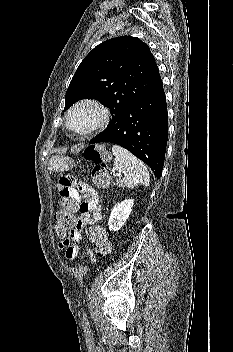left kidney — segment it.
Instances as JSON below:
<instances>
[{
    "label": "left kidney",
    "instance_id": "obj_1",
    "mask_svg": "<svg viewBox=\"0 0 233 352\" xmlns=\"http://www.w3.org/2000/svg\"><path fill=\"white\" fill-rule=\"evenodd\" d=\"M133 205V199H125L113 207L108 220V226L111 231H118L121 229L126 220L129 218Z\"/></svg>",
    "mask_w": 233,
    "mask_h": 352
}]
</instances>
